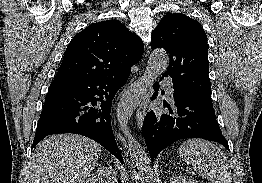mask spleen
Returning <instances> with one entry per match:
<instances>
[{"mask_svg": "<svg viewBox=\"0 0 262 183\" xmlns=\"http://www.w3.org/2000/svg\"><path fill=\"white\" fill-rule=\"evenodd\" d=\"M179 154L200 176L212 183H232L227 157L213 143L202 139H189L181 144Z\"/></svg>", "mask_w": 262, "mask_h": 183, "instance_id": "obj_1", "label": "spleen"}]
</instances>
